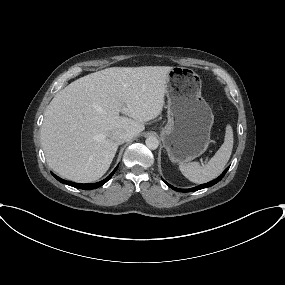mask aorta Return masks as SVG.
Masks as SVG:
<instances>
[{
	"label": "aorta",
	"mask_w": 285,
	"mask_h": 285,
	"mask_svg": "<svg viewBox=\"0 0 285 285\" xmlns=\"http://www.w3.org/2000/svg\"><path fill=\"white\" fill-rule=\"evenodd\" d=\"M146 143V146L149 148V149H152V150H155L158 148L159 146V141L156 137L154 136H150L146 139L145 141Z\"/></svg>",
	"instance_id": "aorta-1"
}]
</instances>
